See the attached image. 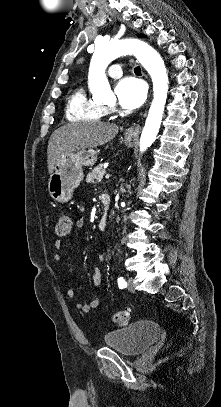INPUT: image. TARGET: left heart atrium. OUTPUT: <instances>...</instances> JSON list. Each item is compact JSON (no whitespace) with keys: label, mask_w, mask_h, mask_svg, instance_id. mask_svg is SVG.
<instances>
[{"label":"left heart atrium","mask_w":221,"mask_h":407,"mask_svg":"<svg viewBox=\"0 0 221 407\" xmlns=\"http://www.w3.org/2000/svg\"><path fill=\"white\" fill-rule=\"evenodd\" d=\"M115 94L122 108L134 110L144 102L146 87L141 79L129 76L116 84Z\"/></svg>","instance_id":"39dd6f15"}]
</instances>
